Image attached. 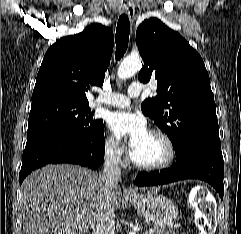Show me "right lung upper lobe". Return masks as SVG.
<instances>
[{
    "instance_id": "obj_1",
    "label": "right lung upper lobe",
    "mask_w": 241,
    "mask_h": 234,
    "mask_svg": "<svg viewBox=\"0 0 241 234\" xmlns=\"http://www.w3.org/2000/svg\"><path fill=\"white\" fill-rule=\"evenodd\" d=\"M113 45L112 30L98 23L56 41L42 61L32 105L49 101L88 103L90 86L103 84Z\"/></svg>"
}]
</instances>
